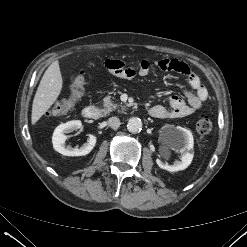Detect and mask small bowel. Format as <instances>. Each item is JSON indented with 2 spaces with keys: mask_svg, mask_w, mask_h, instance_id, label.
Segmentation results:
<instances>
[{
  "mask_svg": "<svg viewBox=\"0 0 247 247\" xmlns=\"http://www.w3.org/2000/svg\"><path fill=\"white\" fill-rule=\"evenodd\" d=\"M105 68L113 75L122 79H131L135 76H147L154 66L163 71H173L184 75L190 89L185 90L186 101L180 96L173 95L169 98V107L155 105L149 114L158 119L181 118L196 112L208 97V91L202 84L199 76L194 73L186 63L178 59H159L152 64L143 60L137 68L128 67L122 61L109 59L104 63Z\"/></svg>",
  "mask_w": 247,
  "mask_h": 247,
  "instance_id": "obj_1",
  "label": "small bowel"
}]
</instances>
